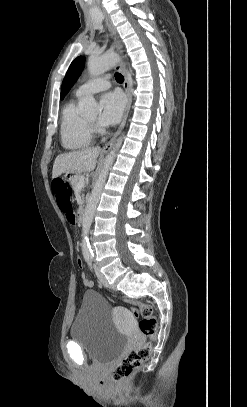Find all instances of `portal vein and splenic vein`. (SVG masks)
<instances>
[{"instance_id": "1", "label": "portal vein and splenic vein", "mask_w": 247, "mask_h": 407, "mask_svg": "<svg viewBox=\"0 0 247 407\" xmlns=\"http://www.w3.org/2000/svg\"><path fill=\"white\" fill-rule=\"evenodd\" d=\"M84 183H85V178L84 177H82L81 179H80V181H79V184H78V188H81V187H83L84 186Z\"/></svg>"}]
</instances>
